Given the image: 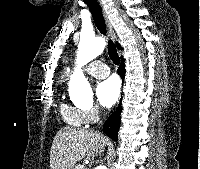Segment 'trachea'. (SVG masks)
Masks as SVG:
<instances>
[{"label":"trachea","mask_w":200,"mask_h":169,"mask_svg":"<svg viewBox=\"0 0 200 169\" xmlns=\"http://www.w3.org/2000/svg\"><path fill=\"white\" fill-rule=\"evenodd\" d=\"M84 3L87 4L89 7L94 23L97 26L98 30L105 36H107V30H106V25L104 21V17L102 14L101 7L97 0H83ZM108 54L110 59L114 62V64L118 65L120 63V58L118 56L116 47L113 43V41L109 38L108 39Z\"/></svg>","instance_id":"1"}]
</instances>
